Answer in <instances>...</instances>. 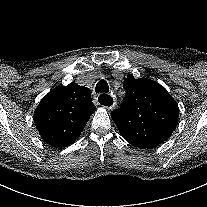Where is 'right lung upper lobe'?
<instances>
[{
  "label": "right lung upper lobe",
  "mask_w": 207,
  "mask_h": 207,
  "mask_svg": "<svg viewBox=\"0 0 207 207\" xmlns=\"http://www.w3.org/2000/svg\"><path fill=\"white\" fill-rule=\"evenodd\" d=\"M95 110L87 87L58 86L40 101L34 123L49 145L67 147L79 137Z\"/></svg>",
  "instance_id": "right-lung-upper-lobe-1"
}]
</instances>
